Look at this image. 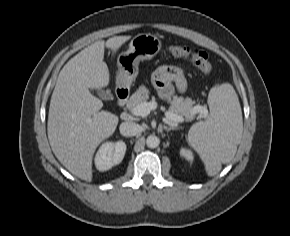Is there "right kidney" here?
<instances>
[{
  "instance_id": "ca27d5eb",
  "label": "right kidney",
  "mask_w": 290,
  "mask_h": 236,
  "mask_svg": "<svg viewBox=\"0 0 290 236\" xmlns=\"http://www.w3.org/2000/svg\"><path fill=\"white\" fill-rule=\"evenodd\" d=\"M126 144L123 141L103 143L95 156V166L99 171H107L119 164L125 155Z\"/></svg>"
}]
</instances>
